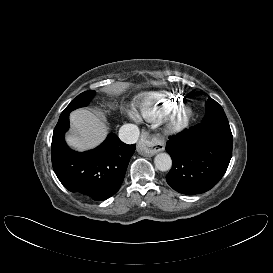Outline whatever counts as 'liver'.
<instances>
[{
  "instance_id": "6515ba94",
  "label": "liver",
  "mask_w": 273,
  "mask_h": 273,
  "mask_svg": "<svg viewBox=\"0 0 273 273\" xmlns=\"http://www.w3.org/2000/svg\"><path fill=\"white\" fill-rule=\"evenodd\" d=\"M70 121L75 131L67 135L69 146L84 151L98 146L107 136L108 127L92 112L78 109L70 114Z\"/></svg>"
}]
</instances>
